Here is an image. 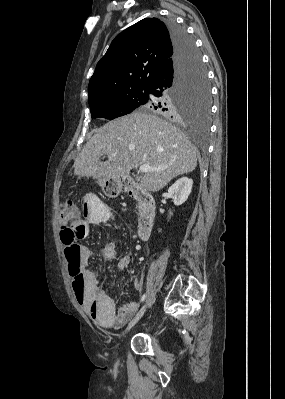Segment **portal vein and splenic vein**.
Here are the masks:
<instances>
[{"instance_id":"obj_1","label":"portal vein and splenic vein","mask_w":285,"mask_h":399,"mask_svg":"<svg viewBox=\"0 0 285 399\" xmlns=\"http://www.w3.org/2000/svg\"><path fill=\"white\" fill-rule=\"evenodd\" d=\"M113 156H115L116 154L115 153H113L112 154ZM139 170L141 171V172H148V171H163V170H165V168H152V167H150L149 165H147V164H144V165H141L140 167H139Z\"/></svg>"}]
</instances>
